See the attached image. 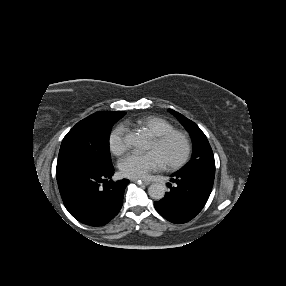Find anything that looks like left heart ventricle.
Returning <instances> with one entry per match:
<instances>
[{
	"label": "left heart ventricle",
	"mask_w": 286,
	"mask_h": 286,
	"mask_svg": "<svg viewBox=\"0 0 286 286\" xmlns=\"http://www.w3.org/2000/svg\"><path fill=\"white\" fill-rule=\"evenodd\" d=\"M157 155L163 166L178 161L186 151L185 139L181 136H173L163 144H157L152 139L146 148Z\"/></svg>",
	"instance_id": "obj_1"
}]
</instances>
